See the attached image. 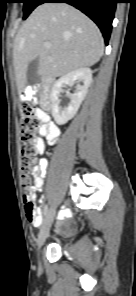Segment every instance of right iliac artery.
Here are the masks:
<instances>
[{"instance_id":"right-iliac-artery-1","label":"right iliac artery","mask_w":136,"mask_h":296,"mask_svg":"<svg viewBox=\"0 0 136 296\" xmlns=\"http://www.w3.org/2000/svg\"><path fill=\"white\" fill-rule=\"evenodd\" d=\"M48 211H50V203L46 202V208H44V212L43 215L47 216L48 215Z\"/></svg>"}]
</instances>
